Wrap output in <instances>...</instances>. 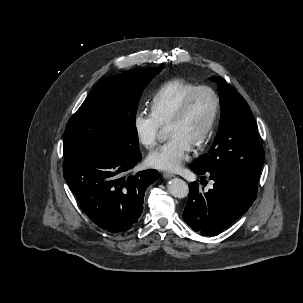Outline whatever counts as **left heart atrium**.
<instances>
[{"label": "left heart atrium", "mask_w": 303, "mask_h": 303, "mask_svg": "<svg viewBox=\"0 0 303 303\" xmlns=\"http://www.w3.org/2000/svg\"><path fill=\"white\" fill-rule=\"evenodd\" d=\"M192 144L179 134L169 139L148 156V164L158 170L175 172L189 158Z\"/></svg>", "instance_id": "39dd6f15"}]
</instances>
